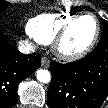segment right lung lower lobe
<instances>
[{"mask_svg": "<svg viewBox=\"0 0 108 108\" xmlns=\"http://www.w3.org/2000/svg\"><path fill=\"white\" fill-rule=\"evenodd\" d=\"M41 65L40 54L25 55L5 43L0 34V108H11L18 99L19 83Z\"/></svg>", "mask_w": 108, "mask_h": 108, "instance_id": "right-lung-lower-lobe-1", "label": "right lung lower lobe"}]
</instances>
